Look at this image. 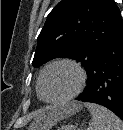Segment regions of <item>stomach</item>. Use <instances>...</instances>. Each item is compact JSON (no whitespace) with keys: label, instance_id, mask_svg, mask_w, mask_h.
Masks as SVG:
<instances>
[{"label":"stomach","instance_id":"obj_1","mask_svg":"<svg viewBox=\"0 0 123 130\" xmlns=\"http://www.w3.org/2000/svg\"><path fill=\"white\" fill-rule=\"evenodd\" d=\"M59 130H80L77 126L68 125V126H62Z\"/></svg>","mask_w":123,"mask_h":130}]
</instances>
